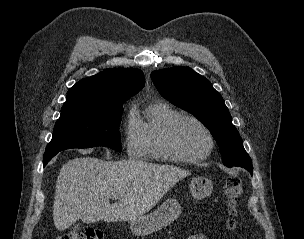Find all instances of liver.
Instances as JSON below:
<instances>
[{
	"mask_svg": "<svg viewBox=\"0 0 304 239\" xmlns=\"http://www.w3.org/2000/svg\"><path fill=\"white\" fill-rule=\"evenodd\" d=\"M188 175V171L176 166L141 160H69L61 167L56 182L54 225L63 231L78 220L94 223L136 219ZM113 194L119 199L110 204Z\"/></svg>",
	"mask_w": 304,
	"mask_h": 239,
	"instance_id": "obj_1",
	"label": "liver"
}]
</instances>
